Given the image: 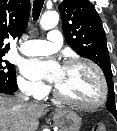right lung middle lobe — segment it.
<instances>
[{
	"instance_id": "dd1d6c3e",
	"label": "right lung middle lobe",
	"mask_w": 117,
	"mask_h": 131,
	"mask_svg": "<svg viewBox=\"0 0 117 131\" xmlns=\"http://www.w3.org/2000/svg\"><path fill=\"white\" fill-rule=\"evenodd\" d=\"M5 53L6 52H0V87L16 91L18 86L16 83L15 67L13 64L2 59Z\"/></svg>"
}]
</instances>
